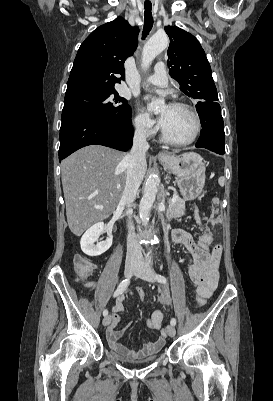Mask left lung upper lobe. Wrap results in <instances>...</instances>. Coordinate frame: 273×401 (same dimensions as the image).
I'll return each mask as SVG.
<instances>
[{
	"label": "left lung upper lobe",
	"mask_w": 273,
	"mask_h": 401,
	"mask_svg": "<svg viewBox=\"0 0 273 401\" xmlns=\"http://www.w3.org/2000/svg\"><path fill=\"white\" fill-rule=\"evenodd\" d=\"M165 31L170 38V75L180 84V90L194 99L218 101L211 67L198 40L176 26H167Z\"/></svg>",
	"instance_id": "5c2ea615"
}]
</instances>
